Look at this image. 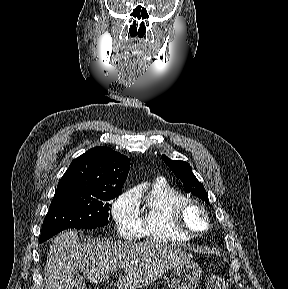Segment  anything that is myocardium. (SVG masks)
<instances>
[{
  "mask_svg": "<svg viewBox=\"0 0 288 289\" xmlns=\"http://www.w3.org/2000/svg\"><path fill=\"white\" fill-rule=\"evenodd\" d=\"M190 206L196 207L204 215L206 226L201 231L190 230L184 222V218H183L184 212ZM171 216H172V221H173V224L175 225V227L191 238L203 235L204 233L208 232L210 230V227H211L210 217H209V213H208L207 209L200 201L193 199V198H186V199L176 203L172 207Z\"/></svg>",
  "mask_w": 288,
  "mask_h": 289,
  "instance_id": "f54148a6",
  "label": "myocardium"
}]
</instances>
